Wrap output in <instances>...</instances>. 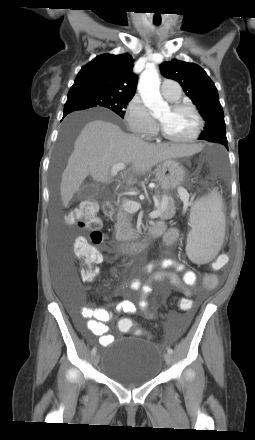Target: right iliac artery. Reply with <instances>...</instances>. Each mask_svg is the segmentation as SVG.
Returning <instances> with one entry per match:
<instances>
[{
  "label": "right iliac artery",
  "mask_w": 255,
  "mask_h": 440,
  "mask_svg": "<svg viewBox=\"0 0 255 440\" xmlns=\"http://www.w3.org/2000/svg\"><path fill=\"white\" fill-rule=\"evenodd\" d=\"M96 352H97V349L94 347V348L92 349V351H91V354H92V355H95Z\"/></svg>",
  "instance_id": "obj_1"
}]
</instances>
